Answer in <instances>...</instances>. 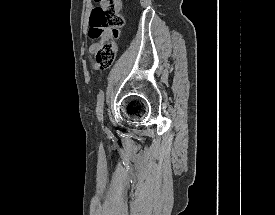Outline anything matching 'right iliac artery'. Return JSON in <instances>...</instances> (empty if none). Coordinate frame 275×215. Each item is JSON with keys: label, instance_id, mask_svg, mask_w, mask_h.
<instances>
[{"label": "right iliac artery", "instance_id": "obj_1", "mask_svg": "<svg viewBox=\"0 0 275 215\" xmlns=\"http://www.w3.org/2000/svg\"><path fill=\"white\" fill-rule=\"evenodd\" d=\"M103 102H104V93H103V91H101L98 94L97 108H96V112H97L99 120L103 119Z\"/></svg>", "mask_w": 275, "mask_h": 215}]
</instances>
